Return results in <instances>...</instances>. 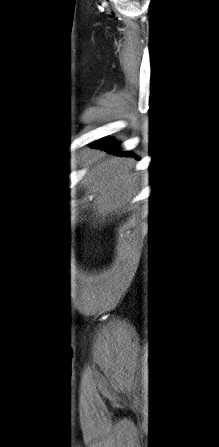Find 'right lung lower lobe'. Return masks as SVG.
<instances>
[{"mask_svg":"<svg viewBox=\"0 0 219 447\" xmlns=\"http://www.w3.org/2000/svg\"><path fill=\"white\" fill-rule=\"evenodd\" d=\"M93 147L95 148H99V149H103V150H108V151H112V152H120V155H124V156H128L131 155L130 153L127 152H121L118 150V144L114 143L112 141H103L100 143H96L93 145Z\"/></svg>","mask_w":219,"mask_h":447,"instance_id":"right-lung-lower-lobe-1","label":"right lung lower lobe"}]
</instances>
